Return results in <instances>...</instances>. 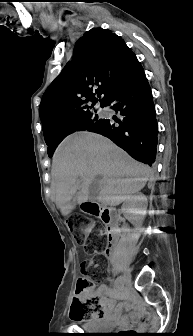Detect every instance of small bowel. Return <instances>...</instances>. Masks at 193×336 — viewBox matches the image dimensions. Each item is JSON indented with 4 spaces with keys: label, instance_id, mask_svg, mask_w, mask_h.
Here are the masks:
<instances>
[{
    "label": "small bowel",
    "instance_id": "1",
    "mask_svg": "<svg viewBox=\"0 0 193 336\" xmlns=\"http://www.w3.org/2000/svg\"><path fill=\"white\" fill-rule=\"evenodd\" d=\"M87 295H97L101 299L102 303V313L97 314L94 319H103L107 325H127L131 321L136 322L139 325H143L145 323V317L138 314L134 318L129 319L122 315V307L129 309L132 306L131 296L129 294H125L121 299V306L116 305V298L113 296V292L111 289L104 285L100 284L96 288L91 289Z\"/></svg>",
    "mask_w": 193,
    "mask_h": 336
}]
</instances>
